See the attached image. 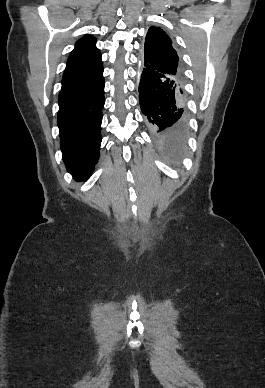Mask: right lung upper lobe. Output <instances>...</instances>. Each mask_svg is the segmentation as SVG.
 Segmentation results:
<instances>
[{"label": "right lung upper lobe", "mask_w": 265, "mask_h": 388, "mask_svg": "<svg viewBox=\"0 0 265 388\" xmlns=\"http://www.w3.org/2000/svg\"><path fill=\"white\" fill-rule=\"evenodd\" d=\"M96 38L85 35L75 44L62 78V86L86 81L103 72L100 51L96 48Z\"/></svg>", "instance_id": "right-lung-upper-lobe-1"}]
</instances>
